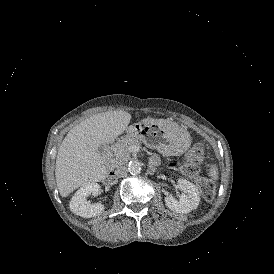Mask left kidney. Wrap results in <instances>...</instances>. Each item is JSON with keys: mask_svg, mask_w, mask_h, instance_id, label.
Returning <instances> with one entry per match:
<instances>
[{"mask_svg": "<svg viewBox=\"0 0 274 274\" xmlns=\"http://www.w3.org/2000/svg\"><path fill=\"white\" fill-rule=\"evenodd\" d=\"M178 185L182 188L183 193L180 195V199L177 200L172 194L166 196V205L172 211L178 213H188L198 207L200 201V194L196 186L183 178L178 179Z\"/></svg>", "mask_w": 274, "mask_h": 274, "instance_id": "5707ae66", "label": "left kidney"}]
</instances>
